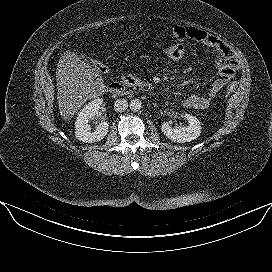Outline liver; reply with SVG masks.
I'll list each match as a JSON object with an SVG mask.
<instances>
[{"mask_svg":"<svg viewBox=\"0 0 272 272\" xmlns=\"http://www.w3.org/2000/svg\"><path fill=\"white\" fill-rule=\"evenodd\" d=\"M57 101L64 120L71 119L88 100L104 93L101 74L72 51L61 56L56 69Z\"/></svg>","mask_w":272,"mask_h":272,"instance_id":"6515ba94","label":"liver"}]
</instances>
